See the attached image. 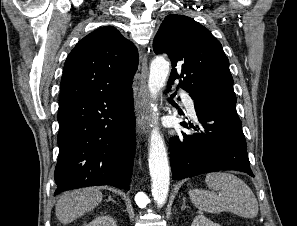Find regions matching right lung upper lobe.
<instances>
[{
    "mask_svg": "<svg viewBox=\"0 0 297 226\" xmlns=\"http://www.w3.org/2000/svg\"><path fill=\"white\" fill-rule=\"evenodd\" d=\"M137 67L136 47L116 28H99L79 41L68 55L59 101L102 92L121 93L131 88Z\"/></svg>",
    "mask_w": 297,
    "mask_h": 226,
    "instance_id": "obj_1",
    "label": "right lung upper lobe"
}]
</instances>
